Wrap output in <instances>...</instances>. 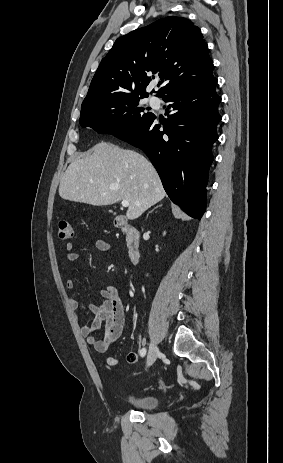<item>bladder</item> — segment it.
<instances>
[{"instance_id":"31cf9c89","label":"bladder","mask_w":283,"mask_h":463,"mask_svg":"<svg viewBox=\"0 0 283 463\" xmlns=\"http://www.w3.org/2000/svg\"><path fill=\"white\" fill-rule=\"evenodd\" d=\"M125 402L138 409L153 410L158 404V398L150 394H132L125 398Z\"/></svg>"}]
</instances>
